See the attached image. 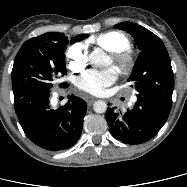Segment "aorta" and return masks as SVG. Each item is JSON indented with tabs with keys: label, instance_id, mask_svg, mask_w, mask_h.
I'll return each mask as SVG.
<instances>
[{
	"label": "aorta",
	"instance_id": "obj_1",
	"mask_svg": "<svg viewBox=\"0 0 187 187\" xmlns=\"http://www.w3.org/2000/svg\"><path fill=\"white\" fill-rule=\"evenodd\" d=\"M90 62L95 66L105 65L108 62V56L102 49L97 48L90 54ZM93 110L96 113H105L107 104L102 100H98L93 104Z\"/></svg>",
	"mask_w": 187,
	"mask_h": 187
}]
</instances>
